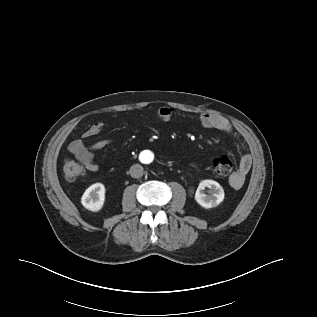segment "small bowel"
Here are the masks:
<instances>
[{"instance_id":"small-bowel-1","label":"small bowel","mask_w":317,"mask_h":317,"mask_svg":"<svg viewBox=\"0 0 317 317\" xmlns=\"http://www.w3.org/2000/svg\"><path fill=\"white\" fill-rule=\"evenodd\" d=\"M176 115V111L170 107H161L156 111V117L162 121H170ZM202 126L221 131L227 135L233 136V129L228 120L216 113H203L199 117ZM103 124L100 122L92 124L83 134L82 137L72 141L69 145V151L79 160L87 170L95 172L99 166L94 160V152L101 150L112 143L111 139H102L90 145L84 143V139L94 137L101 133ZM252 164V159L249 154H244L239 163V168L235 171L229 183L233 188H240L245 181L246 175L249 172Z\"/></svg>"}]
</instances>
